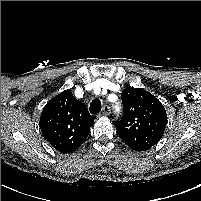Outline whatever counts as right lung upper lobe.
<instances>
[{"label": "right lung upper lobe", "mask_w": 201, "mask_h": 201, "mask_svg": "<svg viewBox=\"0 0 201 201\" xmlns=\"http://www.w3.org/2000/svg\"><path fill=\"white\" fill-rule=\"evenodd\" d=\"M95 116L65 90L44 107L39 126L44 138L60 153L75 151L87 138Z\"/></svg>", "instance_id": "right-lung-upper-lobe-1"}]
</instances>
